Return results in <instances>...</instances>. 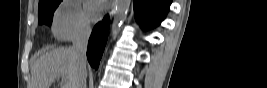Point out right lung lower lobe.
I'll return each instance as SVG.
<instances>
[{"label":"right lung lower lobe","mask_w":267,"mask_h":88,"mask_svg":"<svg viewBox=\"0 0 267 88\" xmlns=\"http://www.w3.org/2000/svg\"><path fill=\"white\" fill-rule=\"evenodd\" d=\"M109 18L105 17L93 29L88 43L87 58L92 67L98 69L108 37Z\"/></svg>","instance_id":"right-lung-lower-lobe-1"}]
</instances>
